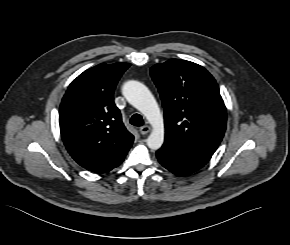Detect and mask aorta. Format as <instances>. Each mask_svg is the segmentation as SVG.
<instances>
[{
	"instance_id": "aorta-1",
	"label": "aorta",
	"mask_w": 290,
	"mask_h": 245,
	"mask_svg": "<svg viewBox=\"0 0 290 245\" xmlns=\"http://www.w3.org/2000/svg\"><path fill=\"white\" fill-rule=\"evenodd\" d=\"M122 92L126 100L151 124L152 132L146 143L150 149L158 150L164 142L165 128L162 113L152 93L144 84L134 80L126 82Z\"/></svg>"
}]
</instances>
